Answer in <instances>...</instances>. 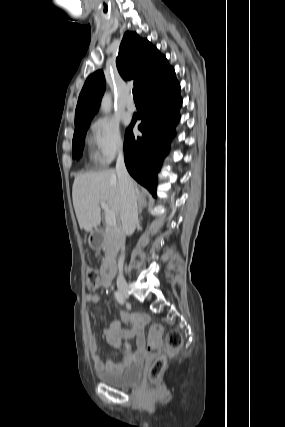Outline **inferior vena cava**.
<instances>
[{"instance_id": "obj_1", "label": "inferior vena cava", "mask_w": 285, "mask_h": 427, "mask_svg": "<svg viewBox=\"0 0 285 427\" xmlns=\"http://www.w3.org/2000/svg\"><path fill=\"white\" fill-rule=\"evenodd\" d=\"M116 173L121 191V212L120 218L122 229L126 235L133 234L136 225L138 224V208L137 198L134 190L133 181L127 172L123 151L120 150L116 162ZM124 257L121 256L118 261L119 272L123 270Z\"/></svg>"}]
</instances>
